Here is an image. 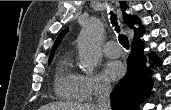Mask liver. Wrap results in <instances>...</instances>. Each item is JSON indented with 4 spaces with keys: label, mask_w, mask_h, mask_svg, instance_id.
I'll list each match as a JSON object with an SVG mask.
<instances>
[{
    "label": "liver",
    "mask_w": 171,
    "mask_h": 110,
    "mask_svg": "<svg viewBox=\"0 0 171 110\" xmlns=\"http://www.w3.org/2000/svg\"><path fill=\"white\" fill-rule=\"evenodd\" d=\"M39 110H98L95 105H79L68 102H54L41 106Z\"/></svg>",
    "instance_id": "obj_1"
}]
</instances>
